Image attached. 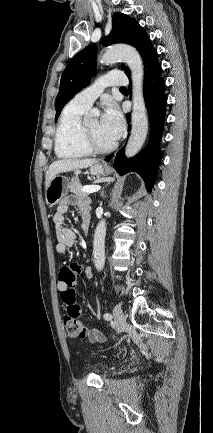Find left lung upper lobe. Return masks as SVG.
Returning a JSON list of instances; mask_svg holds the SVG:
<instances>
[{"label": "left lung upper lobe", "instance_id": "left-lung-upper-lobe-1", "mask_svg": "<svg viewBox=\"0 0 213 433\" xmlns=\"http://www.w3.org/2000/svg\"><path fill=\"white\" fill-rule=\"evenodd\" d=\"M150 42L147 33L135 19L122 13H116L112 19V30L103 39L102 45L126 43L135 47L144 59L146 54L153 49ZM96 55L97 46L93 44L76 54L65 68L56 99L55 121L65 104L88 84L92 73L96 71ZM121 68L128 76L130 75L128 67L122 66Z\"/></svg>", "mask_w": 213, "mask_h": 433}]
</instances>
